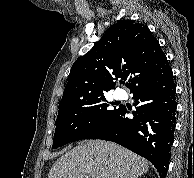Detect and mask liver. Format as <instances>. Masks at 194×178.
Wrapping results in <instances>:
<instances>
[{"label":"liver","instance_id":"obj_1","mask_svg":"<svg viewBox=\"0 0 194 178\" xmlns=\"http://www.w3.org/2000/svg\"><path fill=\"white\" fill-rule=\"evenodd\" d=\"M149 163L112 142L88 140L79 143L53 164L48 178H137L147 173Z\"/></svg>","mask_w":194,"mask_h":178}]
</instances>
